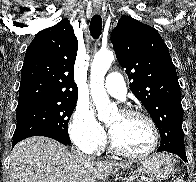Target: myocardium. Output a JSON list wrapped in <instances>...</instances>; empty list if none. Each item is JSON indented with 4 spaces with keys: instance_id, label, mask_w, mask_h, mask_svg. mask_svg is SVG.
I'll return each instance as SVG.
<instances>
[{
    "instance_id": "f54148a6",
    "label": "myocardium",
    "mask_w": 196,
    "mask_h": 182,
    "mask_svg": "<svg viewBox=\"0 0 196 182\" xmlns=\"http://www.w3.org/2000/svg\"><path fill=\"white\" fill-rule=\"evenodd\" d=\"M121 113L126 116L138 117L145 120L148 123L152 132V143L147 150L140 153H135L121 147L111 134L109 140L112 150L122 156L134 159H141L151 155L156 150L159 143V130L154 120L148 114L137 110H122Z\"/></svg>"
}]
</instances>
